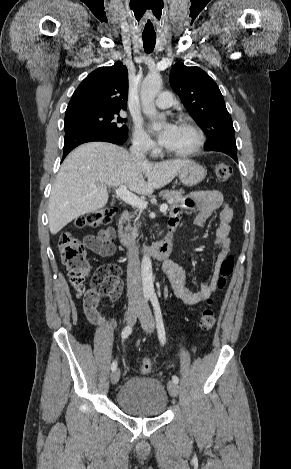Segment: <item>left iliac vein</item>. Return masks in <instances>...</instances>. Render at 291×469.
<instances>
[{"label":"left iliac vein","instance_id":"obj_1","mask_svg":"<svg viewBox=\"0 0 291 469\" xmlns=\"http://www.w3.org/2000/svg\"><path fill=\"white\" fill-rule=\"evenodd\" d=\"M139 320L145 332L149 334L153 332L155 323L149 306L144 305L142 307L139 313ZM168 390L172 397H177L179 394V387L173 381L168 382Z\"/></svg>","mask_w":291,"mask_h":469}]
</instances>
